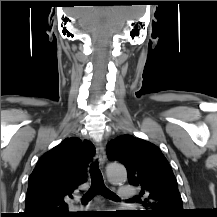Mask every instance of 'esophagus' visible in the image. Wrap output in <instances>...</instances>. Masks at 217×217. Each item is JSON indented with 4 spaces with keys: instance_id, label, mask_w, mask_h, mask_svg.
Instances as JSON below:
<instances>
[{
    "instance_id": "34e87169",
    "label": "esophagus",
    "mask_w": 217,
    "mask_h": 217,
    "mask_svg": "<svg viewBox=\"0 0 217 217\" xmlns=\"http://www.w3.org/2000/svg\"><path fill=\"white\" fill-rule=\"evenodd\" d=\"M96 157L99 161V164L103 166L106 160V154H105V149H104V145L102 144V142L96 143Z\"/></svg>"
}]
</instances>
